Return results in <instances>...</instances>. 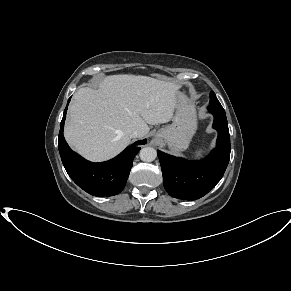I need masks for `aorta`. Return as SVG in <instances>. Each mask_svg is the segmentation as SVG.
<instances>
[{
  "mask_svg": "<svg viewBox=\"0 0 291 291\" xmlns=\"http://www.w3.org/2000/svg\"><path fill=\"white\" fill-rule=\"evenodd\" d=\"M157 157V151L153 147H144L140 150V159L144 162H152Z\"/></svg>",
  "mask_w": 291,
  "mask_h": 291,
  "instance_id": "1",
  "label": "aorta"
}]
</instances>
